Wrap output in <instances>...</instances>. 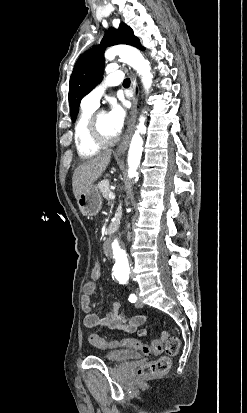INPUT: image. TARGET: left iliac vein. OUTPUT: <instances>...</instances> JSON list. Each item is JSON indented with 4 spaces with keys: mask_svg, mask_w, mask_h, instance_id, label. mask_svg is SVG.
Instances as JSON below:
<instances>
[{
    "mask_svg": "<svg viewBox=\"0 0 247 413\" xmlns=\"http://www.w3.org/2000/svg\"><path fill=\"white\" fill-rule=\"evenodd\" d=\"M137 296H138V300L136 301L135 306L137 308H141L143 306V304H142L141 298H140L138 293H137Z\"/></svg>",
    "mask_w": 247,
    "mask_h": 413,
    "instance_id": "obj_1",
    "label": "left iliac vein"
}]
</instances>
